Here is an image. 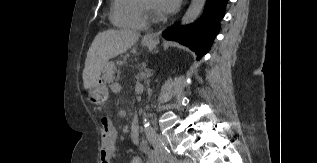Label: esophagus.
<instances>
[{
	"label": "esophagus",
	"instance_id": "1",
	"mask_svg": "<svg viewBox=\"0 0 317 163\" xmlns=\"http://www.w3.org/2000/svg\"><path fill=\"white\" fill-rule=\"evenodd\" d=\"M161 32H162V31L160 30V31H157V32L147 33V34L143 37V40H144V41H147V42H154V41H156V39L160 36Z\"/></svg>",
	"mask_w": 317,
	"mask_h": 163
}]
</instances>
